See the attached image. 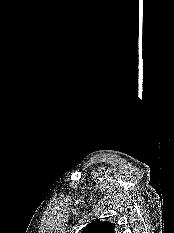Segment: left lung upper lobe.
I'll list each match as a JSON object with an SVG mask.
<instances>
[{"instance_id": "left-lung-upper-lobe-1", "label": "left lung upper lobe", "mask_w": 174, "mask_h": 233, "mask_svg": "<svg viewBox=\"0 0 174 233\" xmlns=\"http://www.w3.org/2000/svg\"><path fill=\"white\" fill-rule=\"evenodd\" d=\"M114 231V223L96 219V221L89 223L81 233H114Z\"/></svg>"}]
</instances>
